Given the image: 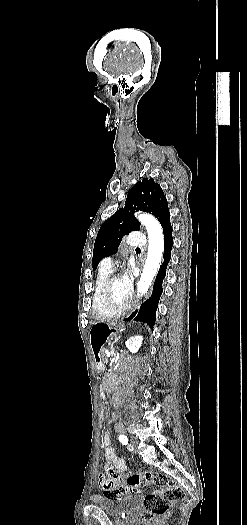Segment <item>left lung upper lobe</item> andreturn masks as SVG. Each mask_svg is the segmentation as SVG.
I'll use <instances>...</instances> for the list:
<instances>
[{
    "label": "left lung upper lobe",
    "mask_w": 247,
    "mask_h": 525,
    "mask_svg": "<svg viewBox=\"0 0 247 525\" xmlns=\"http://www.w3.org/2000/svg\"><path fill=\"white\" fill-rule=\"evenodd\" d=\"M140 210L151 213L160 223L170 215L162 188L152 178L137 182L128 192L124 207L101 226L94 244L93 269L102 258L117 252L123 236L140 229L134 217V212Z\"/></svg>",
    "instance_id": "left-lung-upper-lobe-1"
}]
</instances>
